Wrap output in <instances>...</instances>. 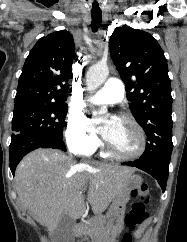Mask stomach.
<instances>
[{
  "mask_svg": "<svg viewBox=\"0 0 187 242\" xmlns=\"http://www.w3.org/2000/svg\"><path fill=\"white\" fill-rule=\"evenodd\" d=\"M141 184L140 176L131 175L129 177L126 190L113 199L106 215V225L98 228L94 233V242H115L124 227L126 205L131 198V193L139 189Z\"/></svg>",
  "mask_w": 187,
  "mask_h": 242,
  "instance_id": "0dacf381",
  "label": "stomach"
}]
</instances>
